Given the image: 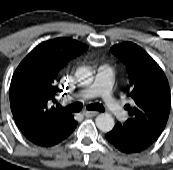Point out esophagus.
Segmentation results:
<instances>
[{
  "mask_svg": "<svg viewBox=\"0 0 173 170\" xmlns=\"http://www.w3.org/2000/svg\"><path fill=\"white\" fill-rule=\"evenodd\" d=\"M83 114L87 117L97 116L99 112L97 111H84Z\"/></svg>",
  "mask_w": 173,
  "mask_h": 170,
  "instance_id": "esophagus-1",
  "label": "esophagus"
}]
</instances>
